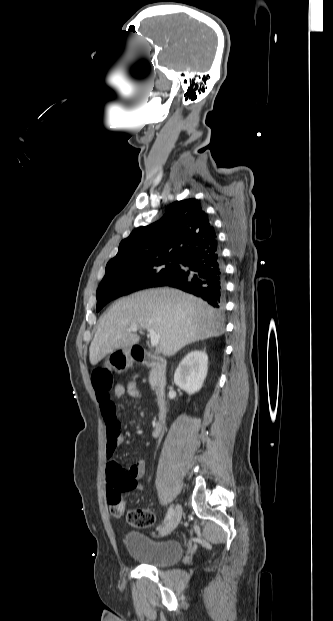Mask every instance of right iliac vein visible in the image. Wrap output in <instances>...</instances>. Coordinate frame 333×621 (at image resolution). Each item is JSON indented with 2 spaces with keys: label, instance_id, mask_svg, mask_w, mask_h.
Listing matches in <instances>:
<instances>
[{
  "label": "right iliac vein",
  "instance_id": "1",
  "mask_svg": "<svg viewBox=\"0 0 333 621\" xmlns=\"http://www.w3.org/2000/svg\"><path fill=\"white\" fill-rule=\"evenodd\" d=\"M181 517H182V508L179 504H177L172 517L160 529V534L161 535L170 534L179 524Z\"/></svg>",
  "mask_w": 333,
  "mask_h": 621
}]
</instances>
